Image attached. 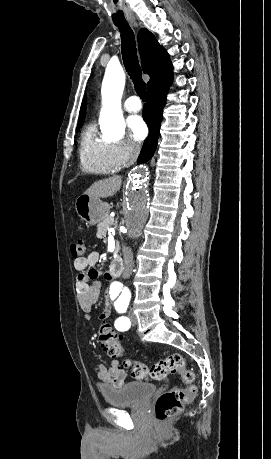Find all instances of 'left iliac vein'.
Segmentation results:
<instances>
[{"instance_id": "left-iliac-vein-1", "label": "left iliac vein", "mask_w": 271, "mask_h": 459, "mask_svg": "<svg viewBox=\"0 0 271 459\" xmlns=\"http://www.w3.org/2000/svg\"><path fill=\"white\" fill-rule=\"evenodd\" d=\"M128 315H129V318H130V320H131V323H132L133 325H135L136 319H135V316H134V314H133V310H130Z\"/></svg>"}]
</instances>
